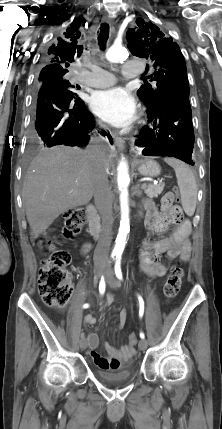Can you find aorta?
Segmentation results:
<instances>
[{
    "label": "aorta",
    "mask_w": 222,
    "mask_h": 429,
    "mask_svg": "<svg viewBox=\"0 0 222 429\" xmlns=\"http://www.w3.org/2000/svg\"><path fill=\"white\" fill-rule=\"evenodd\" d=\"M128 51L122 46H112L108 49L106 53V58L108 61L116 63L119 61H124L128 58ZM118 189L120 192V207H121V220L119 232L116 238V243L113 252L122 253L125 244L126 238L130 231L129 224V202H128V185L130 182L128 174V165L125 160H122L118 165Z\"/></svg>",
    "instance_id": "aorta-1"
}]
</instances>
